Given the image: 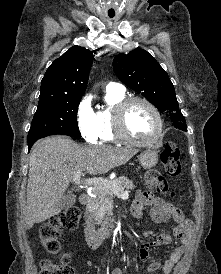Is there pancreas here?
I'll return each instance as SVG.
<instances>
[{
  "label": "pancreas",
  "instance_id": "obj_1",
  "mask_svg": "<svg viewBox=\"0 0 221 274\" xmlns=\"http://www.w3.org/2000/svg\"><path fill=\"white\" fill-rule=\"evenodd\" d=\"M106 184H101L93 189V194L96 197L90 198V203L86 207V211L91 215L97 224L103 221L106 223L111 215L113 209V195L115 194L112 189L107 186H117L122 190H133L135 185L127 177L121 176L112 181L106 180Z\"/></svg>",
  "mask_w": 221,
  "mask_h": 274
}]
</instances>
